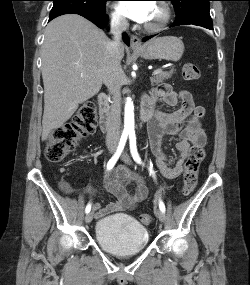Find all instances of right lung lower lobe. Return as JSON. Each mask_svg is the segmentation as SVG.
Returning a JSON list of instances; mask_svg holds the SVG:
<instances>
[{
    "label": "right lung lower lobe",
    "instance_id": "obj_1",
    "mask_svg": "<svg viewBox=\"0 0 250 285\" xmlns=\"http://www.w3.org/2000/svg\"><path fill=\"white\" fill-rule=\"evenodd\" d=\"M73 14H79L86 19L90 20L93 22L95 25H97L99 28L103 29L107 26L108 23V16L105 14V12H88V11H74L70 12ZM68 14V13H66ZM55 17H50L49 21L54 19ZM123 39L127 45H129V38L128 36L124 33Z\"/></svg>",
    "mask_w": 250,
    "mask_h": 285
}]
</instances>
